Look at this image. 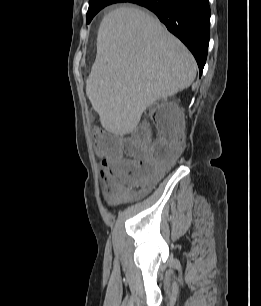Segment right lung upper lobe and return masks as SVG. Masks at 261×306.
<instances>
[{"instance_id": "obj_1", "label": "right lung upper lobe", "mask_w": 261, "mask_h": 306, "mask_svg": "<svg viewBox=\"0 0 261 306\" xmlns=\"http://www.w3.org/2000/svg\"><path fill=\"white\" fill-rule=\"evenodd\" d=\"M103 1H122V2H127L129 0H89V2H103Z\"/></svg>"}]
</instances>
